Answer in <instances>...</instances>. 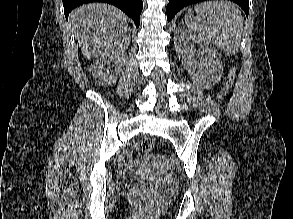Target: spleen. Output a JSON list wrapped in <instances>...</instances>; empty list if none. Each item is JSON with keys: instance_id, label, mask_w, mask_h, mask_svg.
Masks as SVG:
<instances>
[{"instance_id": "spleen-1", "label": "spleen", "mask_w": 293, "mask_h": 219, "mask_svg": "<svg viewBox=\"0 0 293 219\" xmlns=\"http://www.w3.org/2000/svg\"><path fill=\"white\" fill-rule=\"evenodd\" d=\"M195 11L202 18L193 17L192 9L185 16L190 32L228 54L235 55L243 32V17L239 8L229 1H209L195 6ZM205 17L207 20H204Z\"/></svg>"}]
</instances>
